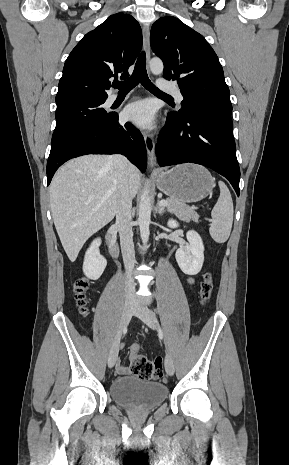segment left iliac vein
<instances>
[{"mask_svg": "<svg viewBox=\"0 0 289 465\" xmlns=\"http://www.w3.org/2000/svg\"><path fill=\"white\" fill-rule=\"evenodd\" d=\"M134 314L140 318L148 327L152 329L157 328V319L149 308L136 305L134 307ZM165 370L169 376H172L175 371L174 362L169 353H166L165 356Z\"/></svg>", "mask_w": 289, "mask_h": 465, "instance_id": "1", "label": "left iliac vein"}]
</instances>
